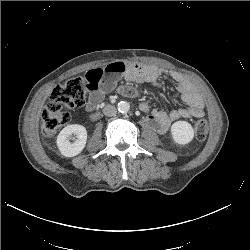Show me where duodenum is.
<instances>
[{"instance_id": "410a0bca", "label": "duodenum", "mask_w": 250, "mask_h": 250, "mask_svg": "<svg viewBox=\"0 0 250 250\" xmlns=\"http://www.w3.org/2000/svg\"><path fill=\"white\" fill-rule=\"evenodd\" d=\"M92 118H94V119H95V115H92Z\"/></svg>"}]
</instances>
